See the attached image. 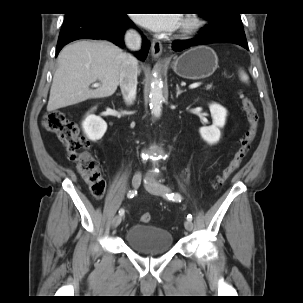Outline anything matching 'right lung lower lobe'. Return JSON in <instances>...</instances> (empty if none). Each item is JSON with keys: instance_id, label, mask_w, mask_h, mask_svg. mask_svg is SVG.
I'll return each instance as SVG.
<instances>
[{"instance_id": "obj_1", "label": "right lung lower lobe", "mask_w": 303, "mask_h": 303, "mask_svg": "<svg viewBox=\"0 0 303 303\" xmlns=\"http://www.w3.org/2000/svg\"><path fill=\"white\" fill-rule=\"evenodd\" d=\"M129 27L134 25L126 14L106 13L94 9L66 14L58 38L56 56L66 44L78 39H107L121 46L125 30ZM149 46V41H143L142 49L136 56L141 60L145 59Z\"/></svg>"}]
</instances>
